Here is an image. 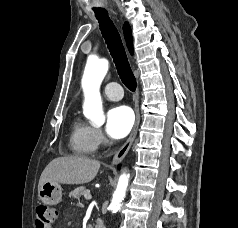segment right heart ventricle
<instances>
[{
    "mask_svg": "<svg viewBox=\"0 0 238 228\" xmlns=\"http://www.w3.org/2000/svg\"><path fill=\"white\" fill-rule=\"evenodd\" d=\"M70 148L77 155H91L97 146L92 137V127L75 116L71 121Z\"/></svg>",
    "mask_w": 238,
    "mask_h": 228,
    "instance_id": "1",
    "label": "right heart ventricle"
}]
</instances>
